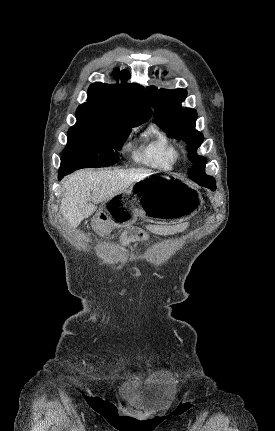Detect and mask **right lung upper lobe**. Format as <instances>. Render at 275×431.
I'll return each instance as SVG.
<instances>
[{
	"mask_svg": "<svg viewBox=\"0 0 275 431\" xmlns=\"http://www.w3.org/2000/svg\"><path fill=\"white\" fill-rule=\"evenodd\" d=\"M113 74L121 84L96 82L88 88L87 102L76 110L77 119H115L125 124L138 126L152 116L145 89L138 84H129L128 71L114 69Z\"/></svg>",
	"mask_w": 275,
	"mask_h": 431,
	"instance_id": "1",
	"label": "right lung upper lobe"
}]
</instances>
